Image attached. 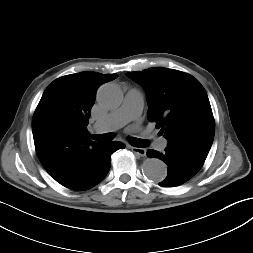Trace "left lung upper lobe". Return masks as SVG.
<instances>
[{
    "label": "left lung upper lobe",
    "mask_w": 253,
    "mask_h": 253,
    "mask_svg": "<svg viewBox=\"0 0 253 253\" xmlns=\"http://www.w3.org/2000/svg\"><path fill=\"white\" fill-rule=\"evenodd\" d=\"M126 75L145 89L147 118L160 128L168 146L208 155L215 122L206 91L196 78L162 67Z\"/></svg>",
    "instance_id": "5c2ea615"
}]
</instances>
